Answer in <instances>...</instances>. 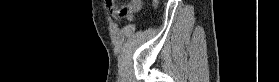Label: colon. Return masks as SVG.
Returning <instances> with one entry per match:
<instances>
[{
    "label": "colon",
    "mask_w": 279,
    "mask_h": 82,
    "mask_svg": "<svg viewBox=\"0 0 279 82\" xmlns=\"http://www.w3.org/2000/svg\"><path fill=\"white\" fill-rule=\"evenodd\" d=\"M112 2H114V3H116V1H114V0H111ZM150 2H152V3H157L158 1H156V0H154V1H150ZM130 3H133L136 7H139V6H141V4H142V1L141 0H132V1H130Z\"/></svg>",
    "instance_id": "obj_1"
}]
</instances>
